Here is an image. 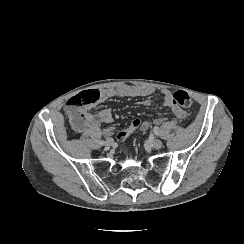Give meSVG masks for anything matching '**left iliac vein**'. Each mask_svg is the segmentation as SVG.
<instances>
[{
  "label": "left iliac vein",
  "mask_w": 244,
  "mask_h": 244,
  "mask_svg": "<svg viewBox=\"0 0 244 244\" xmlns=\"http://www.w3.org/2000/svg\"><path fill=\"white\" fill-rule=\"evenodd\" d=\"M150 145L155 149H159L162 147V142L159 139H153L150 141Z\"/></svg>",
  "instance_id": "4c4485c4"
}]
</instances>
